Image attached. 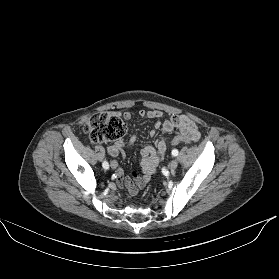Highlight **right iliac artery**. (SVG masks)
<instances>
[{
  "label": "right iliac artery",
  "instance_id": "82829eb1",
  "mask_svg": "<svg viewBox=\"0 0 279 279\" xmlns=\"http://www.w3.org/2000/svg\"><path fill=\"white\" fill-rule=\"evenodd\" d=\"M102 166H103L104 169H108L109 168V164H108L107 161H104Z\"/></svg>",
  "mask_w": 279,
  "mask_h": 279
}]
</instances>
